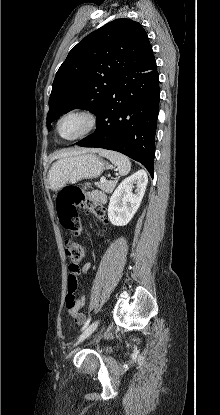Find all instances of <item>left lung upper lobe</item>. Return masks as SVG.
<instances>
[{"mask_svg":"<svg viewBox=\"0 0 220 415\" xmlns=\"http://www.w3.org/2000/svg\"><path fill=\"white\" fill-rule=\"evenodd\" d=\"M153 56L146 31L133 20L116 19L90 33L69 52L56 73L47 126L76 108L97 115L116 80L143 67Z\"/></svg>","mask_w":220,"mask_h":415,"instance_id":"left-lung-upper-lobe-1","label":"left lung upper lobe"}]
</instances>
